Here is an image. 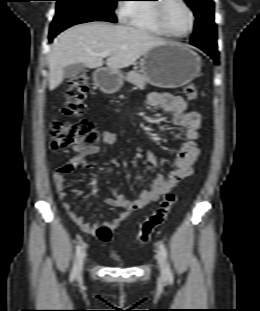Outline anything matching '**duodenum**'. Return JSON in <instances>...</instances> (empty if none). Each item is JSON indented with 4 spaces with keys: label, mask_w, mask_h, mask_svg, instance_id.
Listing matches in <instances>:
<instances>
[{
    "label": "duodenum",
    "mask_w": 260,
    "mask_h": 311,
    "mask_svg": "<svg viewBox=\"0 0 260 311\" xmlns=\"http://www.w3.org/2000/svg\"><path fill=\"white\" fill-rule=\"evenodd\" d=\"M104 75L103 71L102 70H98L96 75H95V78L97 80V82L100 81V78Z\"/></svg>",
    "instance_id": "410a0bca"
}]
</instances>
